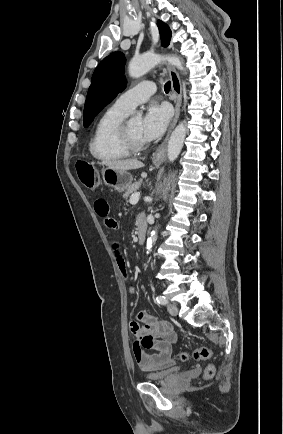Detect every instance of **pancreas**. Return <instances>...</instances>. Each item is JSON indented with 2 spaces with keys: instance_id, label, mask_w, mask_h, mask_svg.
I'll return each mask as SVG.
<instances>
[{
  "instance_id": "obj_1",
  "label": "pancreas",
  "mask_w": 283,
  "mask_h": 434,
  "mask_svg": "<svg viewBox=\"0 0 283 434\" xmlns=\"http://www.w3.org/2000/svg\"><path fill=\"white\" fill-rule=\"evenodd\" d=\"M141 183H142L141 180H139V181L133 183V184H132V185H131L127 190H126V192L124 193L123 197H124L126 200H128L129 196H130L132 193L136 192V191L140 188Z\"/></svg>"
}]
</instances>
